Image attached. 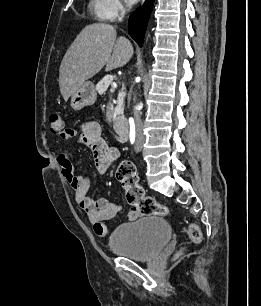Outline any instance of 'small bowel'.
Masks as SVG:
<instances>
[{"instance_id": "obj_1", "label": "small bowel", "mask_w": 261, "mask_h": 306, "mask_svg": "<svg viewBox=\"0 0 261 306\" xmlns=\"http://www.w3.org/2000/svg\"><path fill=\"white\" fill-rule=\"evenodd\" d=\"M73 136H77V133L70 130L67 138ZM78 137L80 142L91 150L97 173L105 174L117 158L118 152L106 143L100 125L94 121L86 122ZM72 158L73 152L69 149L63 150L58 155L57 162L62 176L73 191L77 205L85 212L88 220L92 223L95 234L99 237H105L110 232L106 221L115 217L119 211V206L107 198L93 199L87 195L90 178L85 174L75 172ZM137 216L138 212L134 208L127 214L129 220H134Z\"/></svg>"}]
</instances>
